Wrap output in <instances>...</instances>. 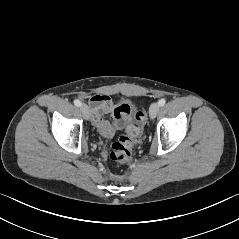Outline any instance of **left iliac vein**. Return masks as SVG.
Wrapping results in <instances>:
<instances>
[{
	"label": "left iliac vein",
	"instance_id": "left-iliac-vein-1",
	"mask_svg": "<svg viewBox=\"0 0 239 239\" xmlns=\"http://www.w3.org/2000/svg\"><path fill=\"white\" fill-rule=\"evenodd\" d=\"M159 109H160V106L158 103L155 102V103L151 104V106L149 108V115H150L151 119H154L157 116Z\"/></svg>",
	"mask_w": 239,
	"mask_h": 239
}]
</instances>
